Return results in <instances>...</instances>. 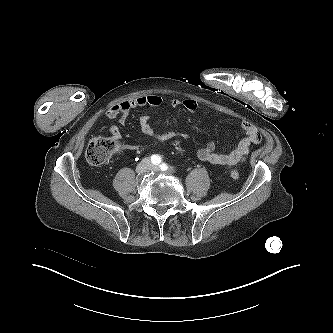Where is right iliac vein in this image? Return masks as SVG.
Masks as SVG:
<instances>
[{
	"mask_svg": "<svg viewBox=\"0 0 333 333\" xmlns=\"http://www.w3.org/2000/svg\"><path fill=\"white\" fill-rule=\"evenodd\" d=\"M151 168V163L149 159L142 160L136 167V173L142 175Z\"/></svg>",
	"mask_w": 333,
	"mask_h": 333,
	"instance_id": "right-iliac-vein-1",
	"label": "right iliac vein"
}]
</instances>
